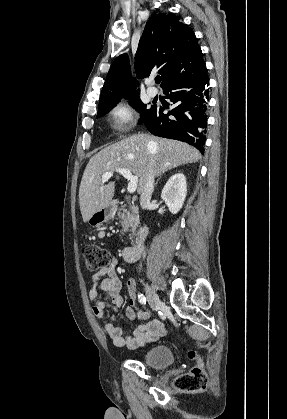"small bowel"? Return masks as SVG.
Masks as SVG:
<instances>
[{
  "instance_id": "1",
  "label": "small bowel",
  "mask_w": 287,
  "mask_h": 419,
  "mask_svg": "<svg viewBox=\"0 0 287 419\" xmlns=\"http://www.w3.org/2000/svg\"><path fill=\"white\" fill-rule=\"evenodd\" d=\"M118 260L114 257L109 265L99 270L92 277V287L89 291V297L93 301V313L96 317L104 320V328L117 347H127L137 349L153 342L164 335L165 326L160 320H153L140 324L131 335H124L121 327L115 325L117 316L111 319H105L106 309L109 305L116 311L123 304L122 284L116 274ZM127 290L130 298V305L126 309V316L130 320L136 317L134 310L136 285L134 279L127 280ZM102 291L105 294L104 299H98V293ZM139 319L144 320L146 314L139 313Z\"/></svg>"
}]
</instances>
